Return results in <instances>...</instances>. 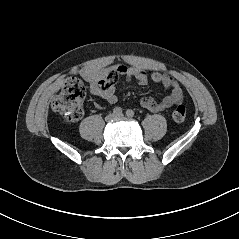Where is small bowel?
<instances>
[{
  "label": "small bowel",
  "mask_w": 239,
  "mask_h": 239,
  "mask_svg": "<svg viewBox=\"0 0 239 239\" xmlns=\"http://www.w3.org/2000/svg\"><path fill=\"white\" fill-rule=\"evenodd\" d=\"M83 77L89 83L91 92L109 103H116L118 100L116 83L121 77H124L127 82H136L140 85H145L148 81H151L170 90V94L159 102L147 97L139 100V105L142 108L153 113L162 112L172 106L181 104L184 100L183 90L172 76L160 72L148 74L146 70L140 67L116 64L103 70H87L83 73ZM101 80L107 81L103 88L98 86V82Z\"/></svg>",
  "instance_id": "1"
}]
</instances>
